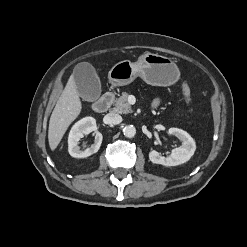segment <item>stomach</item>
Masks as SVG:
<instances>
[{
    "label": "stomach",
    "instance_id": "obj_1",
    "mask_svg": "<svg viewBox=\"0 0 247 247\" xmlns=\"http://www.w3.org/2000/svg\"><path fill=\"white\" fill-rule=\"evenodd\" d=\"M179 75L177 65L170 58L147 52L137 62L124 60L115 64L108 73V79L113 86H124L139 76L153 86H170Z\"/></svg>",
    "mask_w": 247,
    "mask_h": 247
}]
</instances>
